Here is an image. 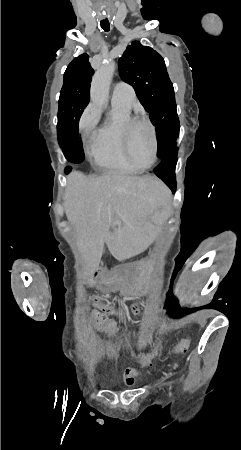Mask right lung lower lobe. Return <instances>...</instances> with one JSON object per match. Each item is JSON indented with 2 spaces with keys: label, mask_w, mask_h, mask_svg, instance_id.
<instances>
[{
  "label": "right lung lower lobe",
  "mask_w": 241,
  "mask_h": 450,
  "mask_svg": "<svg viewBox=\"0 0 241 450\" xmlns=\"http://www.w3.org/2000/svg\"><path fill=\"white\" fill-rule=\"evenodd\" d=\"M80 116L73 119L66 135V151L67 156L69 157L77 154H84L78 137V122Z\"/></svg>",
  "instance_id": "1"
}]
</instances>
